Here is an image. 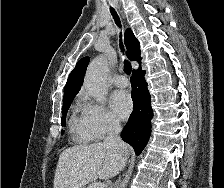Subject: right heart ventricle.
Masks as SVG:
<instances>
[{
  "instance_id": "1",
  "label": "right heart ventricle",
  "mask_w": 224,
  "mask_h": 188,
  "mask_svg": "<svg viewBox=\"0 0 224 188\" xmlns=\"http://www.w3.org/2000/svg\"><path fill=\"white\" fill-rule=\"evenodd\" d=\"M70 129L73 139L79 143L91 142L94 138L84 125L82 115L75 110L70 119Z\"/></svg>"
}]
</instances>
